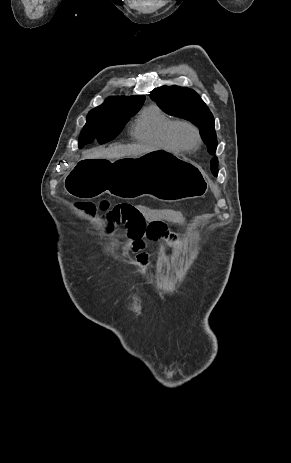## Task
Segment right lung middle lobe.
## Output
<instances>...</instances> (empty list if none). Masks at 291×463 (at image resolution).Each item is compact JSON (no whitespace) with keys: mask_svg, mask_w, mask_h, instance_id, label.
<instances>
[{"mask_svg":"<svg viewBox=\"0 0 291 463\" xmlns=\"http://www.w3.org/2000/svg\"><path fill=\"white\" fill-rule=\"evenodd\" d=\"M142 103L125 109L98 108L87 115V122L79 136V148L97 140L100 144L115 138L129 118L135 114Z\"/></svg>","mask_w":291,"mask_h":463,"instance_id":"obj_1","label":"right lung middle lobe"}]
</instances>
